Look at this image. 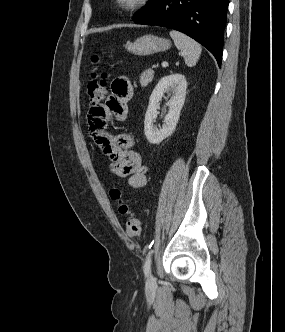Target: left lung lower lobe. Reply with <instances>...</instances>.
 <instances>
[{
    "mask_svg": "<svg viewBox=\"0 0 285 332\" xmlns=\"http://www.w3.org/2000/svg\"><path fill=\"white\" fill-rule=\"evenodd\" d=\"M228 0H161L137 24L168 27L205 46L221 66Z\"/></svg>",
    "mask_w": 285,
    "mask_h": 332,
    "instance_id": "obj_1",
    "label": "left lung lower lobe"
}]
</instances>
